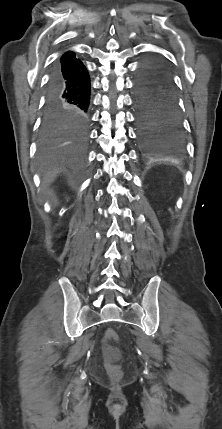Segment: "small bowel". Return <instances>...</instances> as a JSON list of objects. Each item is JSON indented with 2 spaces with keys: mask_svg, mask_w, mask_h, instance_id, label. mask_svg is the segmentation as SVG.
Returning a JSON list of instances; mask_svg holds the SVG:
<instances>
[{
  "mask_svg": "<svg viewBox=\"0 0 222 429\" xmlns=\"http://www.w3.org/2000/svg\"><path fill=\"white\" fill-rule=\"evenodd\" d=\"M105 353L108 354V349L105 350Z\"/></svg>",
  "mask_w": 222,
  "mask_h": 429,
  "instance_id": "obj_1",
  "label": "small bowel"
}]
</instances>
